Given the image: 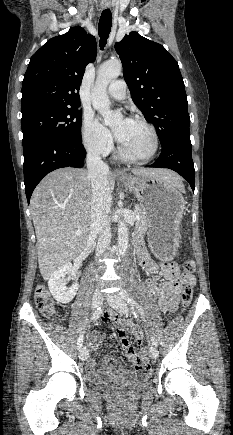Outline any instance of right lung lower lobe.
<instances>
[{
	"instance_id": "1",
	"label": "right lung lower lobe",
	"mask_w": 233,
	"mask_h": 435,
	"mask_svg": "<svg viewBox=\"0 0 233 435\" xmlns=\"http://www.w3.org/2000/svg\"><path fill=\"white\" fill-rule=\"evenodd\" d=\"M24 184L28 203L37 184L51 171L63 167L81 168L86 151L82 142L43 138L23 145Z\"/></svg>"
}]
</instances>
